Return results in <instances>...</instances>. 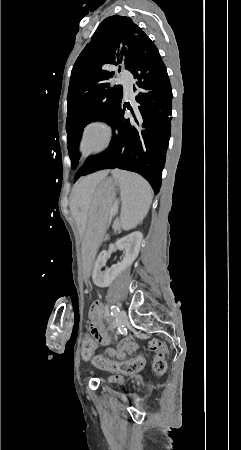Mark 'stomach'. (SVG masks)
<instances>
[{
    "label": "stomach",
    "instance_id": "1",
    "mask_svg": "<svg viewBox=\"0 0 241 450\" xmlns=\"http://www.w3.org/2000/svg\"><path fill=\"white\" fill-rule=\"evenodd\" d=\"M118 183L112 178L103 179L92 198L87 229L81 246L82 274L88 280L92 265L103 240L110 208L116 197Z\"/></svg>",
    "mask_w": 241,
    "mask_h": 450
}]
</instances>
